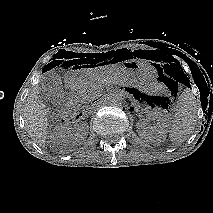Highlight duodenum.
Masks as SVG:
<instances>
[{"instance_id":"duodenum-1","label":"duodenum","mask_w":213,"mask_h":213,"mask_svg":"<svg viewBox=\"0 0 213 213\" xmlns=\"http://www.w3.org/2000/svg\"><path fill=\"white\" fill-rule=\"evenodd\" d=\"M82 115H83V111H77V112L74 114V118L78 119V118H80Z\"/></svg>"}]
</instances>
